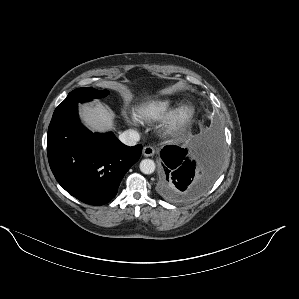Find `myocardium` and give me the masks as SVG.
<instances>
[{
  "label": "myocardium",
  "instance_id": "1",
  "mask_svg": "<svg viewBox=\"0 0 299 299\" xmlns=\"http://www.w3.org/2000/svg\"><path fill=\"white\" fill-rule=\"evenodd\" d=\"M194 109L189 104H181L176 107L163 122L162 131L172 134L183 129L193 118Z\"/></svg>",
  "mask_w": 299,
  "mask_h": 299
}]
</instances>
